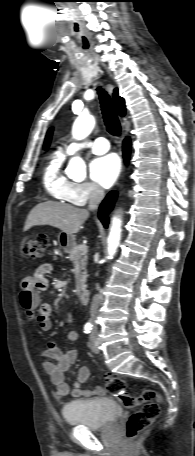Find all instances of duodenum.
Wrapping results in <instances>:
<instances>
[{
  "instance_id": "1",
  "label": "duodenum",
  "mask_w": 195,
  "mask_h": 456,
  "mask_svg": "<svg viewBox=\"0 0 195 456\" xmlns=\"http://www.w3.org/2000/svg\"><path fill=\"white\" fill-rule=\"evenodd\" d=\"M90 293L87 289H82L80 292V300L82 303L86 304L89 302Z\"/></svg>"
}]
</instances>
